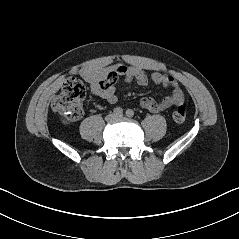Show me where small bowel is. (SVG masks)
<instances>
[{"mask_svg":"<svg viewBox=\"0 0 239 239\" xmlns=\"http://www.w3.org/2000/svg\"><path fill=\"white\" fill-rule=\"evenodd\" d=\"M82 75L90 84L91 91L94 95L112 104L118 100L116 84L121 77H123L124 81L128 84L144 86L150 81L155 85L164 86L171 90L170 95L159 102L148 97L139 100V105L152 113H159L170 107L184 103V93L176 79L160 72L148 74L141 67L115 64L100 70L89 69L84 71ZM100 81L106 82L103 87L99 86Z\"/></svg>","mask_w":239,"mask_h":239,"instance_id":"small-bowel-1","label":"small bowel"}]
</instances>
